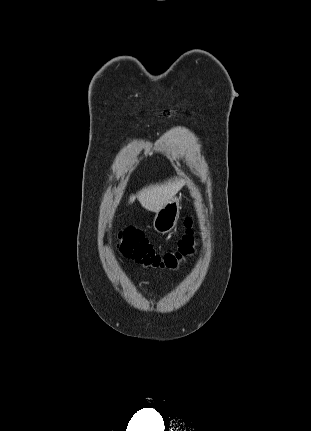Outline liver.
Returning <instances> with one entry per match:
<instances>
[{"instance_id": "obj_1", "label": "liver", "mask_w": 311, "mask_h": 431, "mask_svg": "<svg viewBox=\"0 0 311 431\" xmlns=\"http://www.w3.org/2000/svg\"><path fill=\"white\" fill-rule=\"evenodd\" d=\"M184 180H179L177 176L174 178H167L164 182H156V184H149L144 186L136 194H131L128 198V206L133 204L135 200H138L144 210L148 212H159L161 208H164L180 188H182Z\"/></svg>"}]
</instances>
